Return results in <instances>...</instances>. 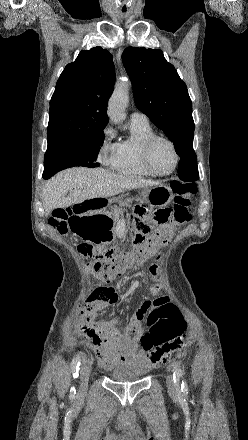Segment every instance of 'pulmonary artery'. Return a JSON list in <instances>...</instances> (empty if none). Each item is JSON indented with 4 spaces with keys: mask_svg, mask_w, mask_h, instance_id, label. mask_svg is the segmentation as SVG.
<instances>
[{
    "mask_svg": "<svg viewBox=\"0 0 248 440\" xmlns=\"http://www.w3.org/2000/svg\"><path fill=\"white\" fill-rule=\"evenodd\" d=\"M131 122L148 123V117L142 112H133L131 114Z\"/></svg>",
    "mask_w": 248,
    "mask_h": 440,
    "instance_id": "obj_1",
    "label": "pulmonary artery"
}]
</instances>
